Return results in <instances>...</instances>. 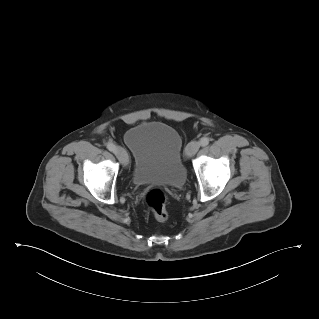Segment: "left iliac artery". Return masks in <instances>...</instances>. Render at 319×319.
Returning <instances> with one entry per match:
<instances>
[{"mask_svg": "<svg viewBox=\"0 0 319 319\" xmlns=\"http://www.w3.org/2000/svg\"><path fill=\"white\" fill-rule=\"evenodd\" d=\"M208 144H209V138H207V137L201 138V140H200V145H201V146L205 147V146H207Z\"/></svg>", "mask_w": 319, "mask_h": 319, "instance_id": "left-iliac-artery-1", "label": "left iliac artery"}]
</instances>
